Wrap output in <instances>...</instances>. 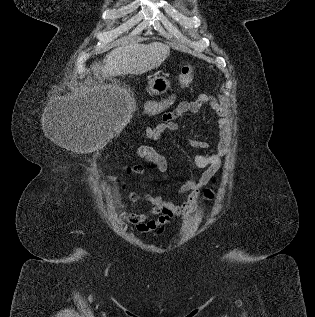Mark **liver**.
Listing matches in <instances>:
<instances>
[{"label": "liver", "instance_id": "1", "mask_svg": "<svg viewBox=\"0 0 315 317\" xmlns=\"http://www.w3.org/2000/svg\"><path fill=\"white\" fill-rule=\"evenodd\" d=\"M169 55L170 47L160 42L147 45L132 42L117 47L108 53L104 59L103 78L125 76L127 74H144L159 67ZM123 94L125 98L118 99V102H121L120 105L127 104L128 101L126 93ZM112 110L110 108V111Z\"/></svg>", "mask_w": 315, "mask_h": 317}]
</instances>
